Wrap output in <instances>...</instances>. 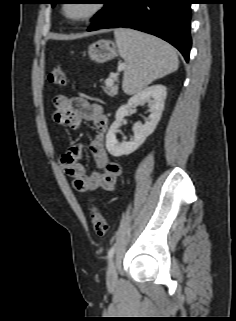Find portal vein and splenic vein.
I'll return each mask as SVG.
<instances>
[{
    "label": "portal vein and splenic vein",
    "instance_id": "portal-vein-and-splenic-vein-1",
    "mask_svg": "<svg viewBox=\"0 0 236 321\" xmlns=\"http://www.w3.org/2000/svg\"><path fill=\"white\" fill-rule=\"evenodd\" d=\"M111 77L113 78V75H111ZM111 82H112V79H111V78H110V79H107L106 84L109 85Z\"/></svg>",
    "mask_w": 236,
    "mask_h": 321
}]
</instances>
